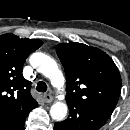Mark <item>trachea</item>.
I'll return each instance as SVG.
<instances>
[{"mask_svg": "<svg viewBox=\"0 0 130 130\" xmlns=\"http://www.w3.org/2000/svg\"><path fill=\"white\" fill-rule=\"evenodd\" d=\"M36 89L38 92L44 93L47 90V85L45 82L40 81V82H38Z\"/></svg>", "mask_w": 130, "mask_h": 130, "instance_id": "3493384b", "label": "trachea"}]
</instances>
